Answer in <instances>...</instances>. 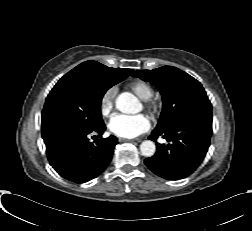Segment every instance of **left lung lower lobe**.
Segmentation results:
<instances>
[{"mask_svg":"<svg viewBox=\"0 0 252 231\" xmlns=\"http://www.w3.org/2000/svg\"><path fill=\"white\" fill-rule=\"evenodd\" d=\"M212 117L194 115L175 122L163 131H153L149 139L162 136L169 144L157 143L147 167L160 177L177 180L189 176L203 161L210 144Z\"/></svg>","mask_w":252,"mask_h":231,"instance_id":"0a47b994","label":"left lung lower lobe"}]
</instances>
